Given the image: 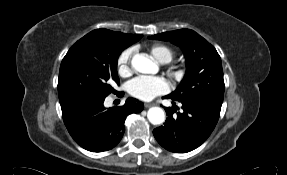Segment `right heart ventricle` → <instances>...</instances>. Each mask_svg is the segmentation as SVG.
I'll return each mask as SVG.
<instances>
[{
	"instance_id": "e07e8e85",
	"label": "right heart ventricle",
	"mask_w": 287,
	"mask_h": 175,
	"mask_svg": "<svg viewBox=\"0 0 287 175\" xmlns=\"http://www.w3.org/2000/svg\"><path fill=\"white\" fill-rule=\"evenodd\" d=\"M150 53L160 62H170L174 57V50L165 44L155 43L149 48Z\"/></svg>"
}]
</instances>
